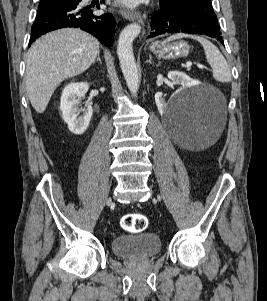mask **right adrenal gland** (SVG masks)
<instances>
[{
  "label": "right adrenal gland",
  "mask_w": 267,
  "mask_h": 301,
  "mask_svg": "<svg viewBox=\"0 0 267 301\" xmlns=\"http://www.w3.org/2000/svg\"><path fill=\"white\" fill-rule=\"evenodd\" d=\"M97 61H99L100 64H102V61H101V58H100V52H98L97 59L93 63H96Z\"/></svg>",
  "instance_id": "right-adrenal-gland-1"
}]
</instances>
